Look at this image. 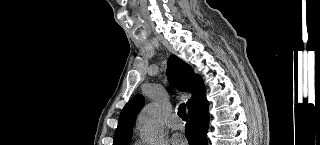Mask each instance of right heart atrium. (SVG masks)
Masks as SVG:
<instances>
[{
	"mask_svg": "<svg viewBox=\"0 0 320 145\" xmlns=\"http://www.w3.org/2000/svg\"><path fill=\"white\" fill-rule=\"evenodd\" d=\"M144 144H145L144 142H140V143H139V145H144Z\"/></svg>",
	"mask_w": 320,
	"mask_h": 145,
	"instance_id": "right-heart-atrium-1",
	"label": "right heart atrium"
}]
</instances>
